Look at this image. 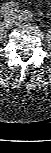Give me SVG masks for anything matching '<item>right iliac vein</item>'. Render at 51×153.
Segmentation results:
<instances>
[{"mask_svg": "<svg viewBox=\"0 0 51 153\" xmlns=\"http://www.w3.org/2000/svg\"><path fill=\"white\" fill-rule=\"evenodd\" d=\"M15 23V18L14 17H7L5 20H4V26L6 28H10L14 25Z\"/></svg>", "mask_w": 51, "mask_h": 153, "instance_id": "right-iliac-vein-1", "label": "right iliac vein"}]
</instances>
